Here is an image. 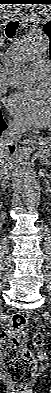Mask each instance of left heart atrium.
<instances>
[{
	"mask_svg": "<svg viewBox=\"0 0 51 393\" xmlns=\"http://www.w3.org/2000/svg\"><path fill=\"white\" fill-rule=\"evenodd\" d=\"M9 108L26 126L47 127L51 122V98L48 91L34 89L13 95Z\"/></svg>",
	"mask_w": 51,
	"mask_h": 393,
	"instance_id": "obj_1",
	"label": "left heart atrium"
}]
</instances>
